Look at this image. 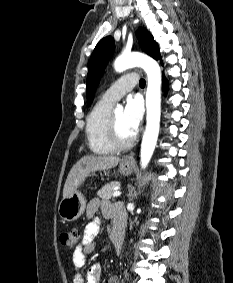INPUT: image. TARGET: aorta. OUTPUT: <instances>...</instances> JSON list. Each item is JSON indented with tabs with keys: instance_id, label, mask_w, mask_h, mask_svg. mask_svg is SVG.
I'll use <instances>...</instances> for the list:
<instances>
[{
	"instance_id": "1",
	"label": "aorta",
	"mask_w": 233,
	"mask_h": 283,
	"mask_svg": "<svg viewBox=\"0 0 233 283\" xmlns=\"http://www.w3.org/2000/svg\"><path fill=\"white\" fill-rule=\"evenodd\" d=\"M132 67L143 68L148 79L146 92V129L140 151V165L142 169H145L153 155L160 129L161 70L154 59L137 52L124 53L114 61L116 72L120 73ZM117 108L121 109L122 106L117 105Z\"/></svg>"
}]
</instances>
